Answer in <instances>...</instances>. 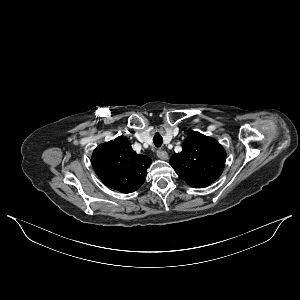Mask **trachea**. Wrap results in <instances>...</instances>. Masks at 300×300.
<instances>
[{"label": "trachea", "mask_w": 300, "mask_h": 300, "mask_svg": "<svg viewBox=\"0 0 300 300\" xmlns=\"http://www.w3.org/2000/svg\"><path fill=\"white\" fill-rule=\"evenodd\" d=\"M153 143L157 148L161 147V145L163 143V138L159 133H155V135L153 137Z\"/></svg>", "instance_id": "3493384b"}]
</instances>
